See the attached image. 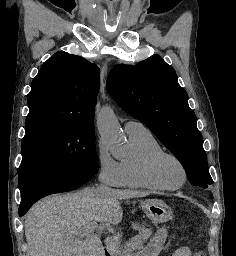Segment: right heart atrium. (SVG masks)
<instances>
[{
	"label": "right heart atrium",
	"mask_w": 236,
	"mask_h": 256,
	"mask_svg": "<svg viewBox=\"0 0 236 256\" xmlns=\"http://www.w3.org/2000/svg\"><path fill=\"white\" fill-rule=\"evenodd\" d=\"M95 160L98 177L101 182L111 187L124 186V174L121 162L110 154L102 141L98 143Z\"/></svg>",
	"instance_id": "obj_1"
}]
</instances>
